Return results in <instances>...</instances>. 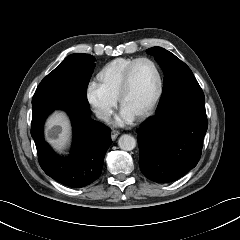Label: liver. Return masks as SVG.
I'll use <instances>...</instances> for the list:
<instances>
[{
    "instance_id": "obj_1",
    "label": "liver",
    "mask_w": 240,
    "mask_h": 240,
    "mask_svg": "<svg viewBox=\"0 0 240 240\" xmlns=\"http://www.w3.org/2000/svg\"><path fill=\"white\" fill-rule=\"evenodd\" d=\"M53 126L62 127V132L60 133L59 138L50 141L55 148L61 150L66 146L69 139V122L63 113H55L47 121V128Z\"/></svg>"
}]
</instances>
